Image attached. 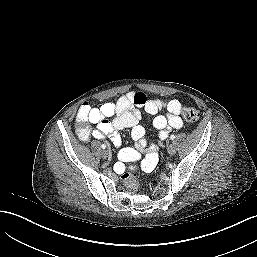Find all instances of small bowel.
Masks as SVG:
<instances>
[{
    "label": "small bowel",
    "mask_w": 257,
    "mask_h": 257,
    "mask_svg": "<svg viewBox=\"0 0 257 257\" xmlns=\"http://www.w3.org/2000/svg\"><path fill=\"white\" fill-rule=\"evenodd\" d=\"M140 108L149 114L166 112L153 119V126L159 130L160 140H165L172 130H179L183 126L180 117L182 105L178 100L148 99L142 92L131 91L121 96L116 103L106 102L100 107L85 104L80 108L77 114L78 137L86 142L91 138L103 139L108 136L112 143L119 147L121 137L118 131L129 128L136 145L135 148L121 149L119 151L121 159L133 163L140 160L141 154L147 151L141 159L140 167L143 171H151L158 160V146L148 145L145 129L140 123ZM83 109H88L85 117L82 115ZM89 123L95 125V128L91 129ZM117 169L122 170L123 166L118 164Z\"/></svg>",
    "instance_id": "small-bowel-1"
}]
</instances>
